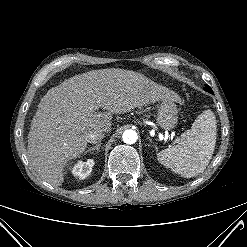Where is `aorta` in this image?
<instances>
[{
	"mask_svg": "<svg viewBox=\"0 0 247 247\" xmlns=\"http://www.w3.org/2000/svg\"><path fill=\"white\" fill-rule=\"evenodd\" d=\"M122 138L126 144H134L138 139V135L136 131L129 129L124 131Z\"/></svg>",
	"mask_w": 247,
	"mask_h": 247,
	"instance_id": "1",
	"label": "aorta"
}]
</instances>
